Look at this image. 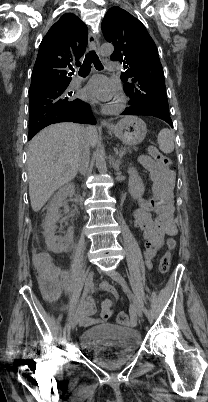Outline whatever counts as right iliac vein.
Segmentation results:
<instances>
[{"instance_id": "right-iliac-vein-1", "label": "right iliac vein", "mask_w": 208, "mask_h": 402, "mask_svg": "<svg viewBox=\"0 0 208 402\" xmlns=\"http://www.w3.org/2000/svg\"><path fill=\"white\" fill-rule=\"evenodd\" d=\"M93 276H94V272L92 270H90L88 272L86 281H85V289L90 290V288L93 285ZM83 304L79 307V309L76 311L74 319H73V323H72V329H75V327L77 326L78 322H79V317L81 314V310H82Z\"/></svg>"}]
</instances>
